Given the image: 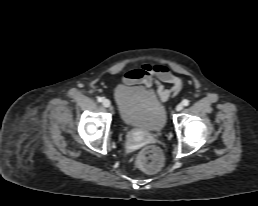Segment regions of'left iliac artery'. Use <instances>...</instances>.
<instances>
[{
	"label": "left iliac artery",
	"mask_w": 258,
	"mask_h": 206,
	"mask_svg": "<svg viewBox=\"0 0 258 206\" xmlns=\"http://www.w3.org/2000/svg\"><path fill=\"white\" fill-rule=\"evenodd\" d=\"M182 104H183L184 106H188V105H189V101H188V100H183Z\"/></svg>",
	"instance_id": "1"
}]
</instances>
